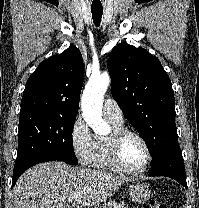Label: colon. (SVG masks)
<instances>
[{"label": "colon", "instance_id": "colon-1", "mask_svg": "<svg viewBox=\"0 0 199 208\" xmlns=\"http://www.w3.org/2000/svg\"><path fill=\"white\" fill-rule=\"evenodd\" d=\"M149 208H166V206L161 201L152 199L149 202Z\"/></svg>", "mask_w": 199, "mask_h": 208}]
</instances>
